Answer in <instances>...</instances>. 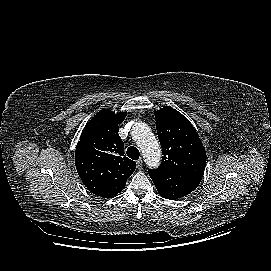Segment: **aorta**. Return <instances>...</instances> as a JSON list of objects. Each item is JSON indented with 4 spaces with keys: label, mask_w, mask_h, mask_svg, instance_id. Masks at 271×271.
Wrapping results in <instances>:
<instances>
[{
    "label": "aorta",
    "mask_w": 271,
    "mask_h": 271,
    "mask_svg": "<svg viewBox=\"0 0 271 271\" xmlns=\"http://www.w3.org/2000/svg\"><path fill=\"white\" fill-rule=\"evenodd\" d=\"M131 134L142 151L145 163L149 167H157L161 160V148L150 127L144 122H137L133 125Z\"/></svg>",
    "instance_id": "1"
}]
</instances>
